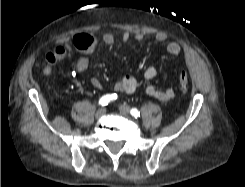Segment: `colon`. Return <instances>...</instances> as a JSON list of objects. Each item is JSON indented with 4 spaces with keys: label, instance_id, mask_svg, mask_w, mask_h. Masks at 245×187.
<instances>
[{
    "label": "colon",
    "instance_id": "obj_1",
    "mask_svg": "<svg viewBox=\"0 0 245 187\" xmlns=\"http://www.w3.org/2000/svg\"><path fill=\"white\" fill-rule=\"evenodd\" d=\"M75 42L77 43V40H75ZM65 53H66V47L65 46H63L61 48H57L55 50V54L54 55H49L47 57L48 63H53L56 60L57 57H61ZM188 85H189V74H188L187 71L182 70L179 73V86H180V89L182 91H185L188 88Z\"/></svg>",
    "mask_w": 245,
    "mask_h": 187
}]
</instances>
